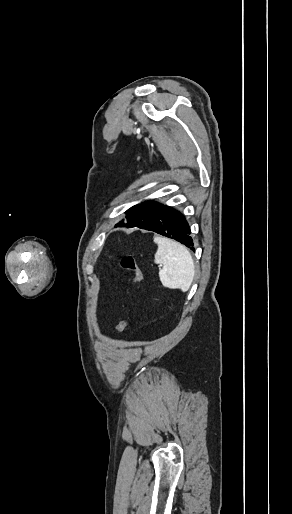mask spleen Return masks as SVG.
<instances>
[{
	"mask_svg": "<svg viewBox=\"0 0 292 514\" xmlns=\"http://www.w3.org/2000/svg\"><path fill=\"white\" fill-rule=\"evenodd\" d=\"M157 244L155 264H162L159 278L164 288L171 290H189L195 276L194 262L190 252L185 246L168 240V238H154Z\"/></svg>",
	"mask_w": 292,
	"mask_h": 514,
	"instance_id": "obj_1",
	"label": "spleen"
}]
</instances>
